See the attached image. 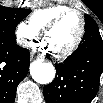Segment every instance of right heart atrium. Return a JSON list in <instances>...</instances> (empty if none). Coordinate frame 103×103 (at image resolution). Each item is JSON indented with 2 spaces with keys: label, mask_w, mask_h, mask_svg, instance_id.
<instances>
[{
  "label": "right heart atrium",
  "mask_w": 103,
  "mask_h": 103,
  "mask_svg": "<svg viewBox=\"0 0 103 103\" xmlns=\"http://www.w3.org/2000/svg\"><path fill=\"white\" fill-rule=\"evenodd\" d=\"M39 35L37 31L29 22L20 21L15 27V38L19 45L27 46Z\"/></svg>",
  "instance_id": "1"
}]
</instances>
